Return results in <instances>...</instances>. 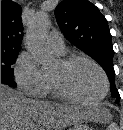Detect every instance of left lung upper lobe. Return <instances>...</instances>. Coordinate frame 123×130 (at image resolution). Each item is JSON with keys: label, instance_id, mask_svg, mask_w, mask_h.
<instances>
[{"label": "left lung upper lobe", "instance_id": "obj_1", "mask_svg": "<svg viewBox=\"0 0 123 130\" xmlns=\"http://www.w3.org/2000/svg\"><path fill=\"white\" fill-rule=\"evenodd\" d=\"M55 17L65 37L97 61L107 73L112 97L120 101L115 87L114 51L106 18L88 0H63L55 9Z\"/></svg>", "mask_w": 123, "mask_h": 130}]
</instances>
